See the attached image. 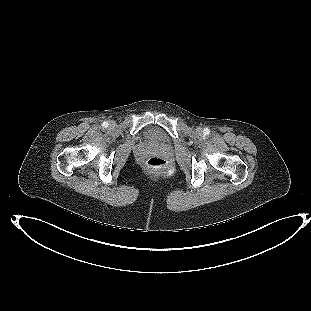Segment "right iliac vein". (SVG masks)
<instances>
[{
	"label": "right iliac vein",
	"mask_w": 311,
	"mask_h": 311,
	"mask_svg": "<svg viewBox=\"0 0 311 311\" xmlns=\"http://www.w3.org/2000/svg\"><path fill=\"white\" fill-rule=\"evenodd\" d=\"M109 125H110L111 128H114L115 127V122L114 121H110Z\"/></svg>",
	"instance_id": "1"
}]
</instances>
